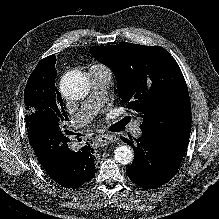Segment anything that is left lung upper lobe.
<instances>
[{
    "mask_svg": "<svg viewBox=\"0 0 219 219\" xmlns=\"http://www.w3.org/2000/svg\"><path fill=\"white\" fill-rule=\"evenodd\" d=\"M89 52L110 65L120 97L143 118V132L190 137L188 88L177 62L164 48L123 42L92 47Z\"/></svg>",
    "mask_w": 219,
    "mask_h": 219,
    "instance_id": "5c2ea615",
    "label": "left lung upper lobe"
}]
</instances>
